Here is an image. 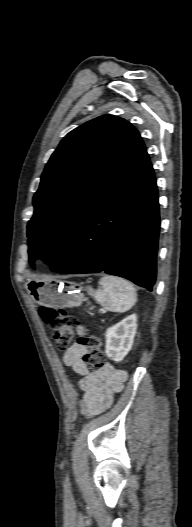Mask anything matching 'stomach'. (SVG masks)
<instances>
[{
    "instance_id": "stomach-1",
    "label": "stomach",
    "mask_w": 192,
    "mask_h": 527,
    "mask_svg": "<svg viewBox=\"0 0 192 527\" xmlns=\"http://www.w3.org/2000/svg\"><path fill=\"white\" fill-rule=\"evenodd\" d=\"M26 287L37 304L55 309L77 307L86 299L82 285L71 281L34 279Z\"/></svg>"
}]
</instances>
